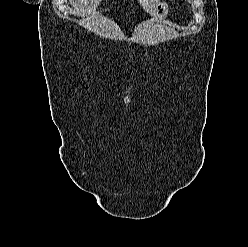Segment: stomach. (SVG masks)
I'll return each instance as SVG.
<instances>
[{
    "label": "stomach",
    "mask_w": 248,
    "mask_h": 247,
    "mask_svg": "<svg viewBox=\"0 0 248 247\" xmlns=\"http://www.w3.org/2000/svg\"><path fill=\"white\" fill-rule=\"evenodd\" d=\"M167 14H168V4L160 0L155 5L151 15L155 20H162L167 16Z\"/></svg>",
    "instance_id": "1"
}]
</instances>
